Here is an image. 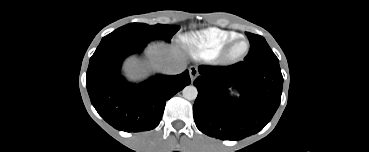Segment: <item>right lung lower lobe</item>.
I'll return each mask as SVG.
<instances>
[{"label": "right lung lower lobe", "instance_id": "obj_1", "mask_svg": "<svg viewBox=\"0 0 369 152\" xmlns=\"http://www.w3.org/2000/svg\"><path fill=\"white\" fill-rule=\"evenodd\" d=\"M149 41L130 36L103 39L90 58L86 86L99 115L126 132L147 131L158 126L165 104L191 82L186 70L176 76L156 75L134 85L120 75L122 61L141 52Z\"/></svg>", "mask_w": 369, "mask_h": 152}]
</instances>
